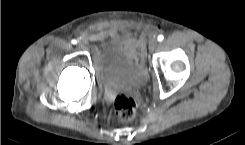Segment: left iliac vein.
I'll return each instance as SVG.
<instances>
[{
    "label": "left iliac vein",
    "mask_w": 245,
    "mask_h": 145,
    "mask_svg": "<svg viewBox=\"0 0 245 145\" xmlns=\"http://www.w3.org/2000/svg\"><path fill=\"white\" fill-rule=\"evenodd\" d=\"M157 45H158L157 40L156 39H152L150 41L149 51L152 53L156 49Z\"/></svg>",
    "instance_id": "left-iliac-vein-1"
}]
</instances>
